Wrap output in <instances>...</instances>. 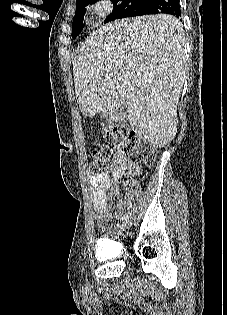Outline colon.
<instances>
[{
  "label": "colon",
  "mask_w": 227,
  "mask_h": 315,
  "mask_svg": "<svg viewBox=\"0 0 227 315\" xmlns=\"http://www.w3.org/2000/svg\"><path fill=\"white\" fill-rule=\"evenodd\" d=\"M106 139L110 146L119 145L125 153L139 163L152 164L157 156L156 148L140 138L133 130L114 126L106 130ZM108 168V158L105 153L97 151L92 156L91 170L94 173L104 172Z\"/></svg>",
  "instance_id": "colon-1"
}]
</instances>
